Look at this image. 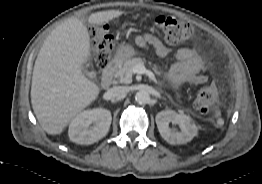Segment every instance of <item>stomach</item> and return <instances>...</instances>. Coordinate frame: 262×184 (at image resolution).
I'll return each instance as SVG.
<instances>
[{
    "label": "stomach",
    "instance_id": "1",
    "mask_svg": "<svg viewBox=\"0 0 262 184\" xmlns=\"http://www.w3.org/2000/svg\"><path fill=\"white\" fill-rule=\"evenodd\" d=\"M135 54H136V50L131 44L122 43L118 46L115 53V57L120 61H124L128 58H131Z\"/></svg>",
    "mask_w": 262,
    "mask_h": 184
}]
</instances>
